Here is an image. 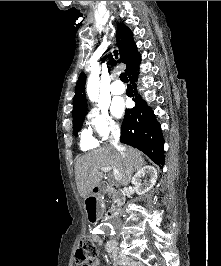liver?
<instances>
[{
    "mask_svg": "<svg viewBox=\"0 0 221 266\" xmlns=\"http://www.w3.org/2000/svg\"><path fill=\"white\" fill-rule=\"evenodd\" d=\"M121 154L112 146L100 147L80 157L75 164V180L82 198H87L89 189H94L102 181L104 172L101 167H115L121 174L119 182L127 186L133 173L145 165L140 151L124 147Z\"/></svg>",
    "mask_w": 221,
    "mask_h": 266,
    "instance_id": "obj_1",
    "label": "liver"
}]
</instances>
